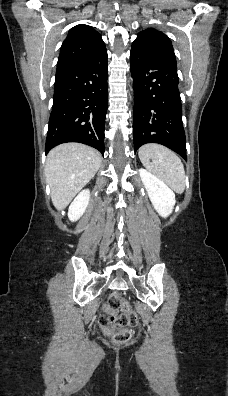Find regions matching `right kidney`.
Segmentation results:
<instances>
[{
  "label": "right kidney",
  "mask_w": 228,
  "mask_h": 396,
  "mask_svg": "<svg viewBox=\"0 0 228 396\" xmlns=\"http://www.w3.org/2000/svg\"><path fill=\"white\" fill-rule=\"evenodd\" d=\"M90 199V191L82 190L73 200L68 209V217L71 221H77L85 212Z\"/></svg>",
  "instance_id": "right-kidney-1"
}]
</instances>
